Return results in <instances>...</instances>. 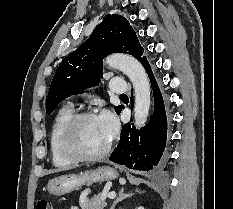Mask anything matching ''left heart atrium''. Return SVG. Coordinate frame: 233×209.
Segmentation results:
<instances>
[{"mask_svg":"<svg viewBox=\"0 0 233 209\" xmlns=\"http://www.w3.org/2000/svg\"><path fill=\"white\" fill-rule=\"evenodd\" d=\"M97 118L104 133L108 139H111L117 131V121L115 116L110 111L103 110Z\"/></svg>","mask_w":233,"mask_h":209,"instance_id":"obj_1","label":"left heart atrium"}]
</instances>
